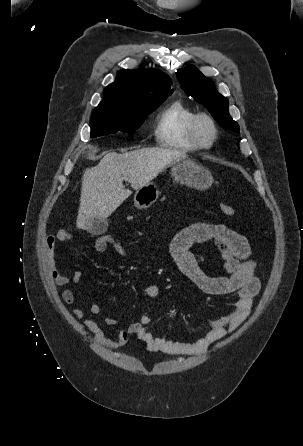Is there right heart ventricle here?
Returning a JSON list of instances; mask_svg holds the SVG:
<instances>
[{
    "label": "right heart ventricle",
    "instance_id": "1",
    "mask_svg": "<svg viewBox=\"0 0 303 446\" xmlns=\"http://www.w3.org/2000/svg\"><path fill=\"white\" fill-rule=\"evenodd\" d=\"M195 111L181 100L170 102L156 119L154 136L164 148L179 151H195L198 147L189 136L188 128Z\"/></svg>",
    "mask_w": 303,
    "mask_h": 446
}]
</instances>
